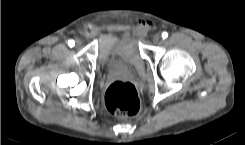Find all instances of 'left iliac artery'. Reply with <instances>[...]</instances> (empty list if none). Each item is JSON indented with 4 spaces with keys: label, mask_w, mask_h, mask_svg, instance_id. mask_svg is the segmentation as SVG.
I'll list each match as a JSON object with an SVG mask.
<instances>
[{
    "label": "left iliac artery",
    "mask_w": 245,
    "mask_h": 145,
    "mask_svg": "<svg viewBox=\"0 0 245 145\" xmlns=\"http://www.w3.org/2000/svg\"><path fill=\"white\" fill-rule=\"evenodd\" d=\"M167 37H168V33H167V32H165V31H164V32H162V38H163V39H165V38H167Z\"/></svg>",
    "instance_id": "1"
}]
</instances>
